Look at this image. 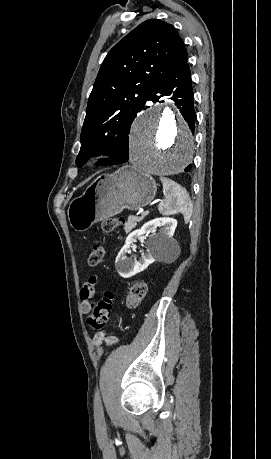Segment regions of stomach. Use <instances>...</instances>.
I'll use <instances>...</instances> for the list:
<instances>
[{
    "label": "stomach",
    "instance_id": "obj_1",
    "mask_svg": "<svg viewBox=\"0 0 271 459\" xmlns=\"http://www.w3.org/2000/svg\"><path fill=\"white\" fill-rule=\"evenodd\" d=\"M155 180L134 166L103 174L88 186L83 196L69 204L68 220L75 231H86L96 222L120 214L124 208L140 210L154 200Z\"/></svg>",
    "mask_w": 271,
    "mask_h": 459
}]
</instances>
